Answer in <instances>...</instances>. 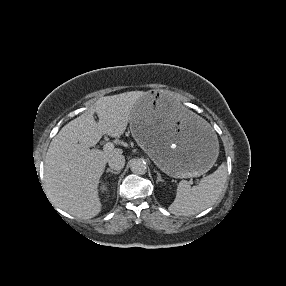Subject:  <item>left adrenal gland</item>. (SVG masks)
Instances as JSON below:
<instances>
[{"instance_id":"1","label":"left adrenal gland","mask_w":286,"mask_h":286,"mask_svg":"<svg viewBox=\"0 0 286 286\" xmlns=\"http://www.w3.org/2000/svg\"><path fill=\"white\" fill-rule=\"evenodd\" d=\"M156 173H157V181H156V182H157V183H158V182H163L164 180L161 178L160 173L157 172V171H156Z\"/></svg>"}]
</instances>
